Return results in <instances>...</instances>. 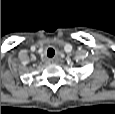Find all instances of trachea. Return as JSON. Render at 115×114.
I'll return each instance as SVG.
<instances>
[{
	"mask_svg": "<svg viewBox=\"0 0 115 114\" xmlns=\"http://www.w3.org/2000/svg\"><path fill=\"white\" fill-rule=\"evenodd\" d=\"M55 55V51L52 48H49L47 51V56L48 57H53Z\"/></svg>",
	"mask_w": 115,
	"mask_h": 114,
	"instance_id": "trachea-1",
	"label": "trachea"
}]
</instances>
